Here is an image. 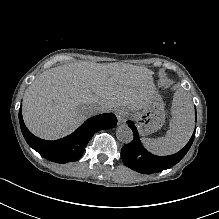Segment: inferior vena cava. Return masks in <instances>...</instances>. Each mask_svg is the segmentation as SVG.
Here are the masks:
<instances>
[{
  "label": "inferior vena cava",
  "instance_id": "1",
  "mask_svg": "<svg viewBox=\"0 0 219 219\" xmlns=\"http://www.w3.org/2000/svg\"><path fill=\"white\" fill-rule=\"evenodd\" d=\"M89 110L92 112L93 115H96V114H98V113H105V112H108V111L102 109L101 106H98V105H96V104H91V105L89 106Z\"/></svg>",
  "mask_w": 219,
  "mask_h": 219
}]
</instances>
